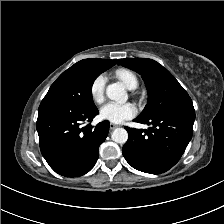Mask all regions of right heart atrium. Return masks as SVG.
<instances>
[{
  "instance_id": "right-heart-atrium-1",
  "label": "right heart atrium",
  "mask_w": 224,
  "mask_h": 224,
  "mask_svg": "<svg viewBox=\"0 0 224 224\" xmlns=\"http://www.w3.org/2000/svg\"><path fill=\"white\" fill-rule=\"evenodd\" d=\"M106 81V76L99 74L91 82L90 96L96 104H101L104 101Z\"/></svg>"
}]
</instances>
